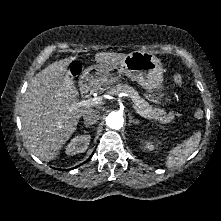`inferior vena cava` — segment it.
Masks as SVG:
<instances>
[{"label":"inferior vena cava","mask_w":221,"mask_h":221,"mask_svg":"<svg viewBox=\"0 0 221 221\" xmlns=\"http://www.w3.org/2000/svg\"><path fill=\"white\" fill-rule=\"evenodd\" d=\"M100 118V114L97 110L90 109L83 115V121L87 125L95 124Z\"/></svg>","instance_id":"602c4592"}]
</instances>
